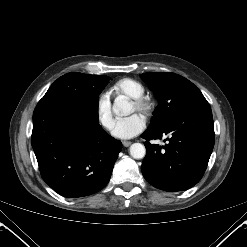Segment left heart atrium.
I'll list each match as a JSON object with an SVG mask.
<instances>
[{
    "mask_svg": "<svg viewBox=\"0 0 247 247\" xmlns=\"http://www.w3.org/2000/svg\"><path fill=\"white\" fill-rule=\"evenodd\" d=\"M146 126L144 118L133 114L126 118L117 119L112 127V135L119 139H130L141 133Z\"/></svg>",
    "mask_w": 247,
    "mask_h": 247,
    "instance_id": "left-heart-atrium-1",
    "label": "left heart atrium"
}]
</instances>
